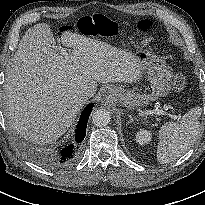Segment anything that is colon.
I'll list each match as a JSON object with an SVG mask.
<instances>
[{
  "mask_svg": "<svg viewBox=\"0 0 205 205\" xmlns=\"http://www.w3.org/2000/svg\"><path fill=\"white\" fill-rule=\"evenodd\" d=\"M85 20L87 21V24L81 25V33L85 35H95L101 37L109 35L112 25L106 17L100 14H94L87 16ZM135 28L140 33H149L154 28V21L150 18L140 19L135 23ZM73 30L74 28L71 25L61 26L59 28L60 33ZM185 82L184 76L182 74H177L173 79V89L177 92L182 91L185 86Z\"/></svg>",
  "mask_w": 205,
  "mask_h": 205,
  "instance_id": "1",
  "label": "colon"
}]
</instances>
